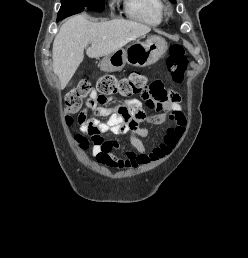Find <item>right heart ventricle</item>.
Here are the masks:
<instances>
[{"label": "right heart ventricle", "mask_w": 248, "mask_h": 258, "mask_svg": "<svg viewBox=\"0 0 248 258\" xmlns=\"http://www.w3.org/2000/svg\"><path fill=\"white\" fill-rule=\"evenodd\" d=\"M124 9L130 19L148 25H159L165 15L162 0H124Z\"/></svg>", "instance_id": "right-heart-ventricle-1"}]
</instances>
